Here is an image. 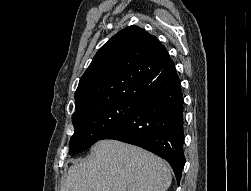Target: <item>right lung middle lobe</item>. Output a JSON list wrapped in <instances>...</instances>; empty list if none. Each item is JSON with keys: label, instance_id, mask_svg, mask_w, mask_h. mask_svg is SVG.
Segmentation results:
<instances>
[{"label": "right lung middle lobe", "instance_id": "obj_1", "mask_svg": "<svg viewBox=\"0 0 251 191\" xmlns=\"http://www.w3.org/2000/svg\"><path fill=\"white\" fill-rule=\"evenodd\" d=\"M139 103L111 101L75 111L72 122L75 132L70 139L69 154L84 151L115 128L139 107Z\"/></svg>", "mask_w": 251, "mask_h": 191}]
</instances>
